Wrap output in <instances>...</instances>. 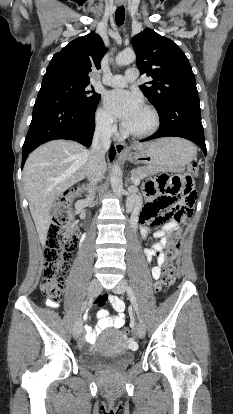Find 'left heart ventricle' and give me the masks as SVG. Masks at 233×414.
Wrapping results in <instances>:
<instances>
[{"mask_svg": "<svg viewBox=\"0 0 233 414\" xmlns=\"http://www.w3.org/2000/svg\"><path fill=\"white\" fill-rule=\"evenodd\" d=\"M152 125V116L142 109L128 124L125 126L135 132H143Z\"/></svg>", "mask_w": 233, "mask_h": 414, "instance_id": "1", "label": "left heart ventricle"}]
</instances>
